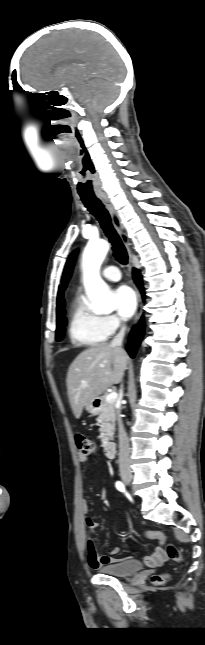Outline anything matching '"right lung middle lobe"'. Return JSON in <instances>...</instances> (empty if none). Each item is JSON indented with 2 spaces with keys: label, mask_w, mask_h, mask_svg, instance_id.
Wrapping results in <instances>:
<instances>
[{
  "label": "right lung middle lobe",
  "mask_w": 205,
  "mask_h": 645,
  "mask_svg": "<svg viewBox=\"0 0 205 645\" xmlns=\"http://www.w3.org/2000/svg\"><path fill=\"white\" fill-rule=\"evenodd\" d=\"M64 315H65V311L61 314L59 318H57V330H56L57 341L62 340L64 336L65 326L67 324V320Z\"/></svg>",
  "instance_id": "dd1d6c3e"
}]
</instances>
